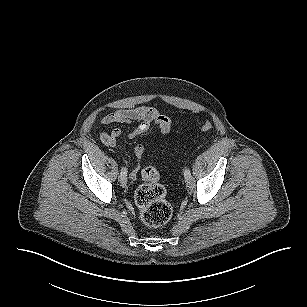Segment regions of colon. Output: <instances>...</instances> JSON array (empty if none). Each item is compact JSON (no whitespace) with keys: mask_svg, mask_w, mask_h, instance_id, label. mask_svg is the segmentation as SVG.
I'll list each match as a JSON object with an SVG mask.
<instances>
[{"mask_svg":"<svg viewBox=\"0 0 307 307\" xmlns=\"http://www.w3.org/2000/svg\"><path fill=\"white\" fill-rule=\"evenodd\" d=\"M213 125L206 121L201 131L209 132ZM143 183L135 192V204L139 210L142 222L150 227H158L167 223L172 215V206L166 199V191L160 183V174L153 166L142 171Z\"/></svg>","mask_w":307,"mask_h":307,"instance_id":"colon-1","label":"colon"}]
</instances>
